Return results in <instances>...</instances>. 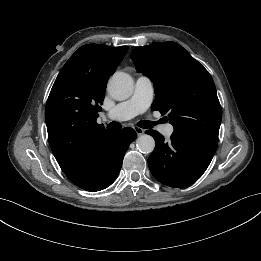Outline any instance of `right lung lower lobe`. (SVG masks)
Masks as SVG:
<instances>
[{
	"label": "right lung lower lobe",
	"instance_id": "98d812e1",
	"mask_svg": "<svg viewBox=\"0 0 261 261\" xmlns=\"http://www.w3.org/2000/svg\"><path fill=\"white\" fill-rule=\"evenodd\" d=\"M136 138L132 128L110 131L101 141L96 153L79 171L68 178L87 191H100L117 178L124 154Z\"/></svg>",
	"mask_w": 261,
	"mask_h": 261
}]
</instances>
